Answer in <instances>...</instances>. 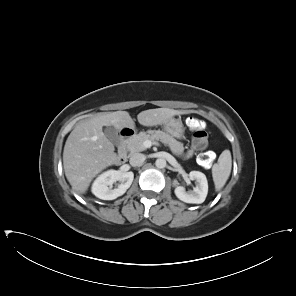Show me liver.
I'll return each instance as SVG.
<instances>
[{
    "label": "liver",
    "instance_id": "liver-1",
    "mask_svg": "<svg viewBox=\"0 0 296 296\" xmlns=\"http://www.w3.org/2000/svg\"><path fill=\"white\" fill-rule=\"evenodd\" d=\"M189 110L156 108L141 111L138 122L146 127L165 124L176 115L188 114ZM104 126L117 131L134 129L135 123L129 112H107L77 124L69 134L63 150V168L72 190L85 194L91 181L109 166L119 164L122 155L115 152L114 143L103 132Z\"/></svg>",
    "mask_w": 296,
    "mask_h": 296
}]
</instances>
